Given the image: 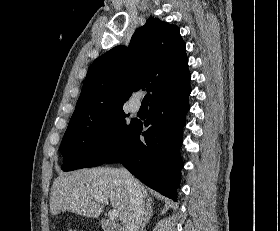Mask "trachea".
Returning <instances> with one entry per match:
<instances>
[{
  "mask_svg": "<svg viewBox=\"0 0 280 231\" xmlns=\"http://www.w3.org/2000/svg\"><path fill=\"white\" fill-rule=\"evenodd\" d=\"M149 100H150V94L147 93V95H145L144 98H143L142 106H143V105H148Z\"/></svg>",
  "mask_w": 280,
  "mask_h": 231,
  "instance_id": "trachea-1",
  "label": "trachea"
}]
</instances>
